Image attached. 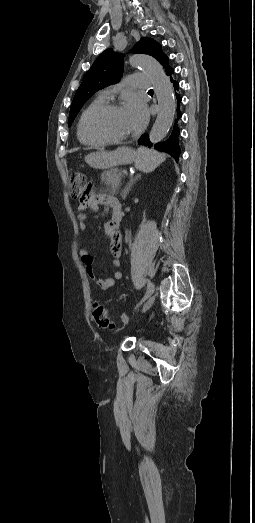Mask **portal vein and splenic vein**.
Wrapping results in <instances>:
<instances>
[{"label":"portal vein and splenic vein","mask_w":255,"mask_h":523,"mask_svg":"<svg viewBox=\"0 0 255 523\" xmlns=\"http://www.w3.org/2000/svg\"><path fill=\"white\" fill-rule=\"evenodd\" d=\"M121 174H122L123 176L130 175V170L123 169V170L121 171Z\"/></svg>","instance_id":"obj_1"}]
</instances>
